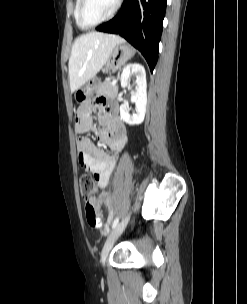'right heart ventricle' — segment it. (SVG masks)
Segmentation results:
<instances>
[{"instance_id": "obj_1", "label": "right heart ventricle", "mask_w": 247, "mask_h": 304, "mask_svg": "<svg viewBox=\"0 0 247 304\" xmlns=\"http://www.w3.org/2000/svg\"><path fill=\"white\" fill-rule=\"evenodd\" d=\"M80 0H75V5H74V19L78 27H80L79 22H78V6H79ZM81 28V27H80Z\"/></svg>"}]
</instances>
